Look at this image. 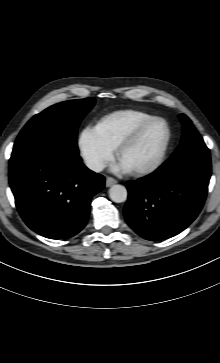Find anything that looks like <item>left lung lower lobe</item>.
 <instances>
[{
	"label": "left lung lower lobe",
	"instance_id": "0a47b994",
	"mask_svg": "<svg viewBox=\"0 0 220 363\" xmlns=\"http://www.w3.org/2000/svg\"><path fill=\"white\" fill-rule=\"evenodd\" d=\"M210 176L209 150L172 155L150 175L127 182L124 215L128 225L151 241L179 234L199 214Z\"/></svg>",
	"mask_w": 220,
	"mask_h": 363
}]
</instances>
